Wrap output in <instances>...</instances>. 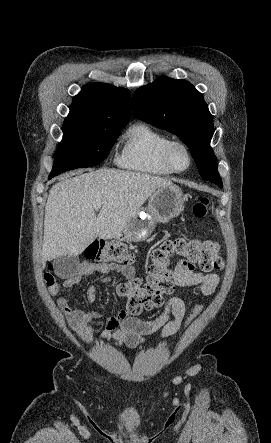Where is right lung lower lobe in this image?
<instances>
[{
    "label": "right lung lower lobe",
    "mask_w": 271,
    "mask_h": 443,
    "mask_svg": "<svg viewBox=\"0 0 271 443\" xmlns=\"http://www.w3.org/2000/svg\"><path fill=\"white\" fill-rule=\"evenodd\" d=\"M52 177H54V176H49V179H51Z\"/></svg>",
    "instance_id": "98d812e1"
}]
</instances>
